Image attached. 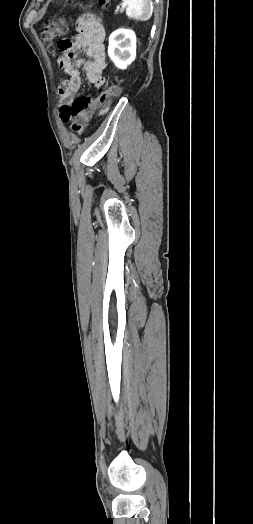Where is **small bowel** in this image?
<instances>
[{"instance_id":"1","label":"small bowel","mask_w":253,"mask_h":524,"mask_svg":"<svg viewBox=\"0 0 253 524\" xmlns=\"http://www.w3.org/2000/svg\"><path fill=\"white\" fill-rule=\"evenodd\" d=\"M75 27V42H72V36L61 35L56 46L59 52L57 62L61 69L68 74V78L63 81L59 88L60 103L62 105H70L72 103L74 95L82 84L83 74L96 87H100L104 83L105 29L103 25L94 15L82 14L78 17ZM78 49L83 51L89 57V60L77 59L75 52ZM111 110L112 107L109 103H102L99 109L95 111V114L107 117Z\"/></svg>"}]
</instances>
